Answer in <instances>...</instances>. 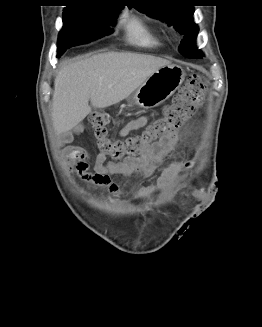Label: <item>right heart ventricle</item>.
I'll return each instance as SVG.
<instances>
[{
	"mask_svg": "<svg viewBox=\"0 0 262 327\" xmlns=\"http://www.w3.org/2000/svg\"><path fill=\"white\" fill-rule=\"evenodd\" d=\"M121 28L124 39L133 46L154 49L162 45L159 33L135 15L125 17L121 22Z\"/></svg>",
	"mask_w": 262,
	"mask_h": 327,
	"instance_id": "right-heart-ventricle-1",
	"label": "right heart ventricle"
}]
</instances>
